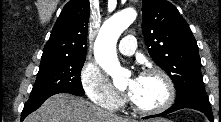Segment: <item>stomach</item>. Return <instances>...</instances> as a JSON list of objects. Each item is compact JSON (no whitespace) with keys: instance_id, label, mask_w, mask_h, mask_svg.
Segmentation results:
<instances>
[{"instance_id":"0dacf381","label":"stomach","mask_w":221,"mask_h":122,"mask_svg":"<svg viewBox=\"0 0 221 122\" xmlns=\"http://www.w3.org/2000/svg\"><path fill=\"white\" fill-rule=\"evenodd\" d=\"M148 122H171V121L164 119V118H157V119H152Z\"/></svg>"}]
</instances>
